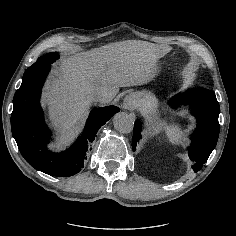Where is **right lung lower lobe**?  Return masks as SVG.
I'll return each instance as SVG.
<instances>
[{
  "label": "right lung lower lobe",
  "instance_id": "98d812e1",
  "mask_svg": "<svg viewBox=\"0 0 236 236\" xmlns=\"http://www.w3.org/2000/svg\"><path fill=\"white\" fill-rule=\"evenodd\" d=\"M50 65L30 71L13 98L11 129L19 151L35 169L51 176H71L78 173L87 159L88 145L99 128L119 111L116 106L91 111L83 134L66 151L53 153L46 148L51 133L47 128L39 104L41 89Z\"/></svg>",
  "mask_w": 236,
  "mask_h": 236
}]
</instances>
